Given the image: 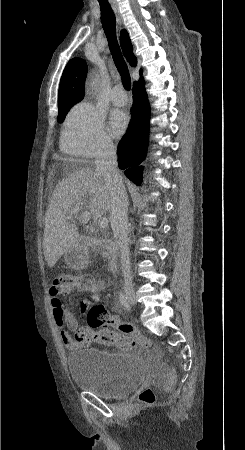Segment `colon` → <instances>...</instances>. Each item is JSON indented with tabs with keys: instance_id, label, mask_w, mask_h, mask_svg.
<instances>
[{
	"instance_id": "colon-1",
	"label": "colon",
	"mask_w": 245,
	"mask_h": 450,
	"mask_svg": "<svg viewBox=\"0 0 245 450\" xmlns=\"http://www.w3.org/2000/svg\"><path fill=\"white\" fill-rule=\"evenodd\" d=\"M62 289L81 288L85 291L92 290L90 279L83 274H70L62 276L56 283ZM87 322L90 329H80L77 337L82 342L98 341L105 345H116L121 349H126L133 344L147 346L148 341L134 327L128 323L122 322L115 316H111L106 307L97 301H92L87 307ZM117 326L120 332L112 330ZM102 328L95 332L92 329ZM175 384V377L170 373L165 381V388L171 389ZM141 403L150 404L155 401V395L150 388H143L138 395Z\"/></svg>"
}]
</instances>
